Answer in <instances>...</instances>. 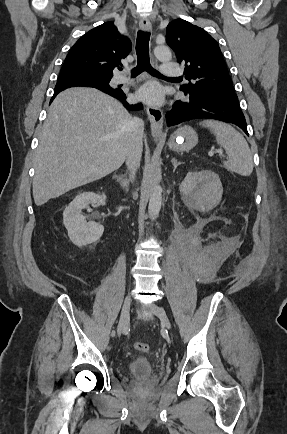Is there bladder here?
<instances>
[{
	"mask_svg": "<svg viewBox=\"0 0 287 434\" xmlns=\"http://www.w3.org/2000/svg\"><path fill=\"white\" fill-rule=\"evenodd\" d=\"M154 372V364L148 357H135L128 365V373L133 377L146 376Z\"/></svg>",
	"mask_w": 287,
	"mask_h": 434,
	"instance_id": "obj_1",
	"label": "bladder"
}]
</instances>
